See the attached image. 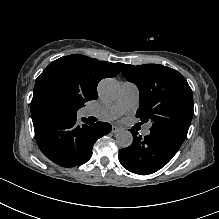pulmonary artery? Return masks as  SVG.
Segmentation results:
<instances>
[{
  "label": "pulmonary artery",
  "instance_id": "e3ab8cb5",
  "mask_svg": "<svg viewBox=\"0 0 219 219\" xmlns=\"http://www.w3.org/2000/svg\"><path fill=\"white\" fill-rule=\"evenodd\" d=\"M139 89L136 84L125 81L121 84V93L113 105L105 107H90L82 110L83 116H93L102 122H110L121 116L126 110L137 104ZM150 128L146 127L143 134L148 135Z\"/></svg>",
  "mask_w": 219,
  "mask_h": 219
}]
</instances>
